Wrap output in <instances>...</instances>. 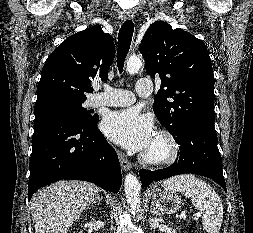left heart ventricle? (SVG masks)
I'll return each instance as SVG.
<instances>
[{
  "instance_id": "left-heart-ventricle-1",
  "label": "left heart ventricle",
  "mask_w": 253,
  "mask_h": 233,
  "mask_svg": "<svg viewBox=\"0 0 253 233\" xmlns=\"http://www.w3.org/2000/svg\"><path fill=\"white\" fill-rule=\"evenodd\" d=\"M157 148H158V144L155 142V139H154L153 142H152V144L148 148V150H150V149H157Z\"/></svg>"
}]
</instances>
